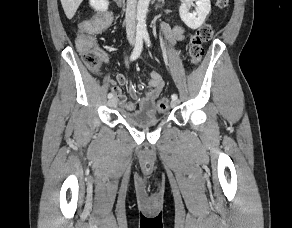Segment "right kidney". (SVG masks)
Here are the masks:
<instances>
[{"label":"right kidney","mask_w":292,"mask_h":228,"mask_svg":"<svg viewBox=\"0 0 292 228\" xmlns=\"http://www.w3.org/2000/svg\"><path fill=\"white\" fill-rule=\"evenodd\" d=\"M90 5L97 11H106L109 6L108 0H90Z\"/></svg>","instance_id":"1"}]
</instances>
